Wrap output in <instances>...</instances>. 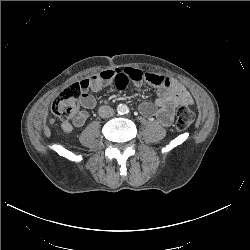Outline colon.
<instances>
[{
	"instance_id": "obj_1",
	"label": "colon",
	"mask_w": 250,
	"mask_h": 250,
	"mask_svg": "<svg viewBox=\"0 0 250 250\" xmlns=\"http://www.w3.org/2000/svg\"><path fill=\"white\" fill-rule=\"evenodd\" d=\"M81 93L82 89L78 83L63 89L52 104V113L62 120L70 119L78 110ZM193 120V112L187 106H181L176 112L175 128L183 131L192 124Z\"/></svg>"
}]
</instances>
